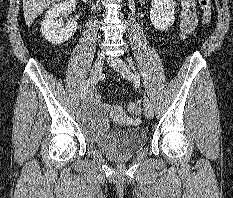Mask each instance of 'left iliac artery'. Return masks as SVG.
Instances as JSON below:
<instances>
[{
    "label": "left iliac artery",
    "mask_w": 233,
    "mask_h": 198,
    "mask_svg": "<svg viewBox=\"0 0 233 198\" xmlns=\"http://www.w3.org/2000/svg\"><path fill=\"white\" fill-rule=\"evenodd\" d=\"M127 61H128V63H129V65L131 66V68L134 70V72H135V70H136V67L134 66V63H133V61H132V58L131 57H128L127 58Z\"/></svg>",
    "instance_id": "left-iliac-artery-1"
}]
</instances>
